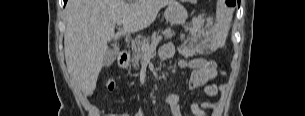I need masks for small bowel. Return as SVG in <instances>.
I'll return each instance as SVG.
<instances>
[{
	"instance_id": "small-bowel-1",
	"label": "small bowel",
	"mask_w": 305,
	"mask_h": 116,
	"mask_svg": "<svg viewBox=\"0 0 305 116\" xmlns=\"http://www.w3.org/2000/svg\"><path fill=\"white\" fill-rule=\"evenodd\" d=\"M219 47V42L216 39H210L204 46L207 52H213ZM175 47L171 43L162 46L160 50V57L162 60H167L173 57ZM178 66L184 69L192 70L189 79V88L191 90H198L203 88L206 96L214 97L218 94L219 88L214 83H209L217 75V64L213 60L205 58H193L191 60H180ZM166 103L169 106L172 116H182L181 99L177 94H170L166 98ZM216 106L214 102L205 101L201 104L192 103L190 110L194 116H207L206 110L213 109ZM136 116H144L143 111H140Z\"/></svg>"
}]
</instances>
